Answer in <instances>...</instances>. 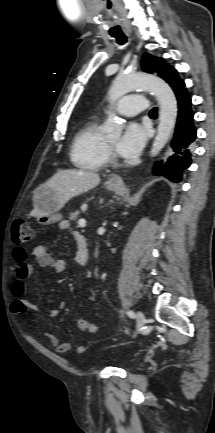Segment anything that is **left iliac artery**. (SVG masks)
Segmentation results:
<instances>
[{"label":"left iliac artery","mask_w":215,"mask_h":433,"mask_svg":"<svg viewBox=\"0 0 215 433\" xmlns=\"http://www.w3.org/2000/svg\"><path fill=\"white\" fill-rule=\"evenodd\" d=\"M127 315H128L130 318H135V317H136L135 313H134L133 311H131V310H129V311L127 312Z\"/></svg>","instance_id":"obj_1"}]
</instances>
